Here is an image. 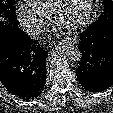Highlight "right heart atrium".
I'll use <instances>...</instances> for the list:
<instances>
[{
	"mask_svg": "<svg viewBox=\"0 0 113 113\" xmlns=\"http://www.w3.org/2000/svg\"><path fill=\"white\" fill-rule=\"evenodd\" d=\"M16 13L21 24L31 35L40 33L45 25L47 16L31 8L27 4H19Z\"/></svg>",
	"mask_w": 113,
	"mask_h": 113,
	"instance_id": "d8ad5b80",
	"label": "right heart atrium"
}]
</instances>
